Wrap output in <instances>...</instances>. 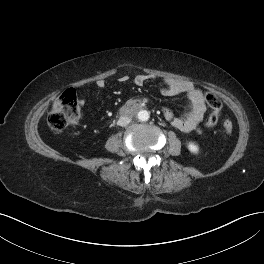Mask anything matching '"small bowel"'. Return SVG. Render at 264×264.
<instances>
[{"mask_svg": "<svg viewBox=\"0 0 264 264\" xmlns=\"http://www.w3.org/2000/svg\"><path fill=\"white\" fill-rule=\"evenodd\" d=\"M150 79H152L150 75L137 74L132 78V82L137 86H142ZM129 80L128 76H122L118 79V82L127 83ZM96 85L99 89H104L106 82L101 79L97 81ZM160 90L166 96L185 94L188 100V109L181 116H176L170 109H163L166 120L182 132L199 131V125L203 121L206 112L203 92L193 82L172 78L165 79ZM81 104H84L83 100Z\"/></svg>", "mask_w": 264, "mask_h": 264, "instance_id": "obj_1", "label": "small bowel"}]
</instances>
